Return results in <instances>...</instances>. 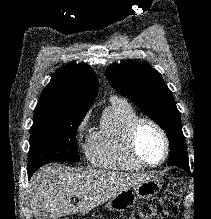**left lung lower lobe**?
Instances as JSON below:
<instances>
[{
  "instance_id": "left-lung-lower-lobe-1",
  "label": "left lung lower lobe",
  "mask_w": 211,
  "mask_h": 219,
  "mask_svg": "<svg viewBox=\"0 0 211 219\" xmlns=\"http://www.w3.org/2000/svg\"><path fill=\"white\" fill-rule=\"evenodd\" d=\"M168 165H176L180 168H183L185 171H189V161L188 160H182L179 157V154L170 152Z\"/></svg>"
}]
</instances>
